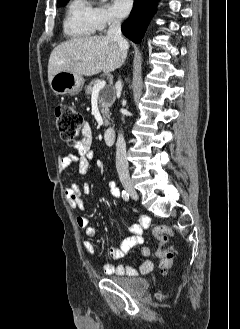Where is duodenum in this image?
<instances>
[{
    "label": "duodenum",
    "instance_id": "duodenum-1",
    "mask_svg": "<svg viewBox=\"0 0 240 329\" xmlns=\"http://www.w3.org/2000/svg\"><path fill=\"white\" fill-rule=\"evenodd\" d=\"M103 139L108 145H112L115 139V130L113 127H108L104 130Z\"/></svg>",
    "mask_w": 240,
    "mask_h": 329
}]
</instances>
